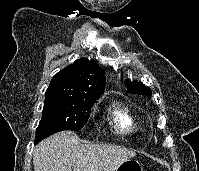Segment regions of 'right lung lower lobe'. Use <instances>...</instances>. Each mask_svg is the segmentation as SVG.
I'll list each match as a JSON object with an SVG mask.
<instances>
[{"label": "right lung lower lobe", "instance_id": "obj_1", "mask_svg": "<svg viewBox=\"0 0 199 171\" xmlns=\"http://www.w3.org/2000/svg\"><path fill=\"white\" fill-rule=\"evenodd\" d=\"M46 138L45 136H42L40 138H35L34 144L36 145L37 143H39L42 139Z\"/></svg>", "mask_w": 199, "mask_h": 171}]
</instances>
